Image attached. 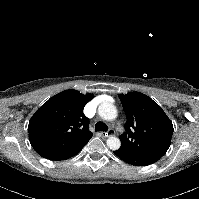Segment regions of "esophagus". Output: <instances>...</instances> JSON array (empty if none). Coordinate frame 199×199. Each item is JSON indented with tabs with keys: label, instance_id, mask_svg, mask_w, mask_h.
<instances>
[{
	"label": "esophagus",
	"instance_id": "obj_1",
	"mask_svg": "<svg viewBox=\"0 0 199 199\" xmlns=\"http://www.w3.org/2000/svg\"><path fill=\"white\" fill-rule=\"evenodd\" d=\"M115 134V131L113 129H110L107 132H101V135L108 137V136H113Z\"/></svg>",
	"mask_w": 199,
	"mask_h": 199
}]
</instances>
